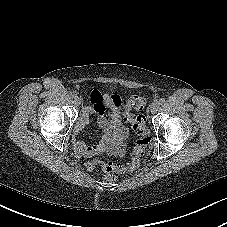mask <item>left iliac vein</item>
<instances>
[{
	"label": "left iliac vein",
	"mask_w": 227,
	"mask_h": 227,
	"mask_svg": "<svg viewBox=\"0 0 227 227\" xmlns=\"http://www.w3.org/2000/svg\"><path fill=\"white\" fill-rule=\"evenodd\" d=\"M159 108V103H153L150 107V112L154 114Z\"/></svg>",
	"instance_id": "left-iliac-vein-1"
}]
</instances>
